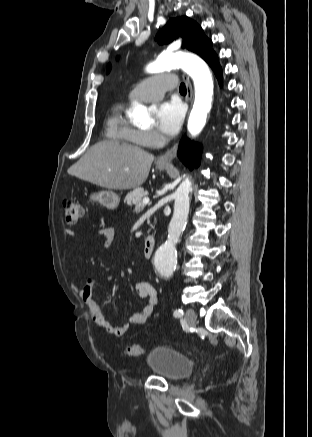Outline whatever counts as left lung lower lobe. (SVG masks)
I'll list each match as a JSON object with an SVG mask.
<instances>
[{"mask_svg":"<svg viewBox=\"0 0 312 437\" xmlns=\"http://www.w3.org/2000/svg\"><path fill=\"white\" fill-rule=\"evenodd\" d=\"M206 62L214 70L216 77L219 79L220 82L222 70L218 63L217 55L213 54ZM178 156L186 166H188L189 168H193L194 166H198L199 164L200 148L197 143L194 144L193 142H189L188 139L184 138L180 142Z\"/></svg>","mask_w":312,"mask_h":437,"instance_id":"0a47b994","label":"left lung lower lobe"}]
</instances>
